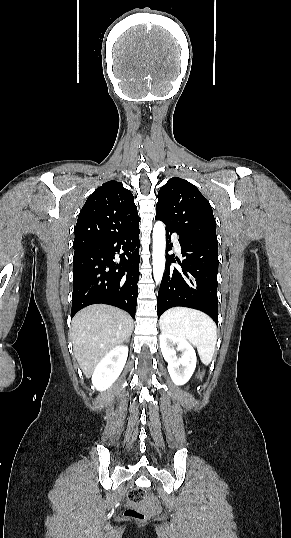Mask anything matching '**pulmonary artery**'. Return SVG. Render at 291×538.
<instances>
[{"label":"pulmonary artery","instance_id":"obj_1","mask_svg":"<svg viewBox=\"0 0 291 538\" xmlns=\"http://www.w3.org/2000/svg\"><path fill=\"white\" fill-rule=\"evenodd\" d=\"M172 240H173V243L175 245V248L179 251L181 249V247H180V244H179V241H178V235L173 234L172 235Z\"/></svg>","mask_w":291,"mask_h":538}]
</instances>
